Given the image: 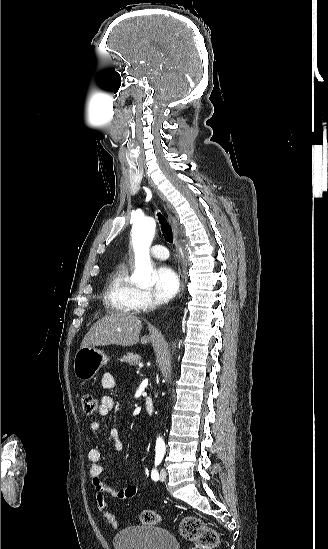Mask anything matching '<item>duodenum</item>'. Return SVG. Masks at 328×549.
Masks as SVG:
<instances>
[{"label": "duodenum", "mask_w": 328, "mask_h": 549, "mask_svg": "<svg viewBox=\"0 0 328 549\" xmlns=\"http://www.w3.org/2000/svg\"><path fill=\"white\" fill-rule=\"evenodd\" d=\"M145 409L149 414H152L154 412L155 404L153 399L150 396H147L145 398Z\"/></svg>", "instance_id": "obj_1"}]
</instances>
